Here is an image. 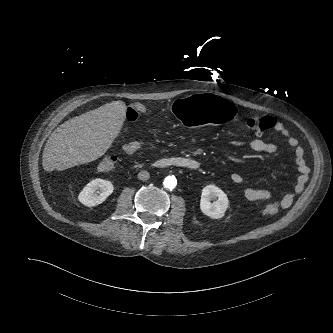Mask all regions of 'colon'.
I'll use <instances>...</instances> for the list:
<instances>
[{"label": "colon", "instance_id": "colon-1", "mask_svg": "<svg viewBox=\"0 0 333 333\" xmlns=\"http://www.w3.org/2000/svg\"><path fill=\"white\" fill-rule=\"evenodd\" d=\"M144 109L139 105L129 106L126 112V118L130 123L137 120L140 112ZM275 120L270 116H257L249 118L246 122L247 127L257 135L264 133L275 125ZM117 164V158L114 156L104 157L98 164L97 170L101 172H110L114 170ZM279 211V205L276 202H270L264 205L263 213L268 216H274Z\"/></svg>", "mask_w": 333, "mask_h": 333}]
</instances>
